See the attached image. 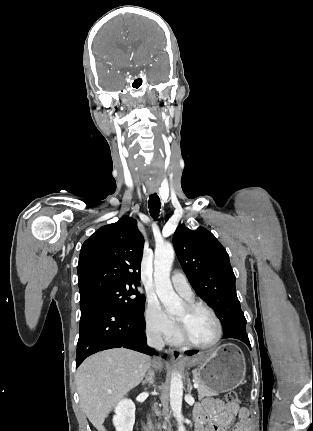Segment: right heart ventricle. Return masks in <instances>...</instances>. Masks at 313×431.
Wrapping results in <instances>:
<instances>
[{"instance_id": "1", "label": "right heart ventricle", "mask_w": 313, "mask_h": 431, "mask_svg": "<svg viewBox=\"0 0 313 431\" xmlns=\"http://www.w3.org/2000/svg\"><path fill=\"white\" fill-rule=\"evenodd\" d=\"M188 301H191V299H187ZM173 344H180V340L177 336V332L175 331L174 334L168 339Z\"/></svg>"}]
</instances>
